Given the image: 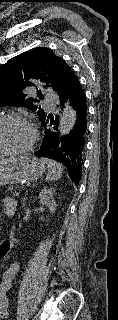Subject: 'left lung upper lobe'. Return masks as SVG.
<instances>
[{
  "label": "left lung upper lobe",
  "instance_id": "obj_1",
  "mask_svg": "<svg viewBox=\"0 0 118 320\" xmlns=\"http://www.w3.org/2000/svg\"><path fill=\"white\" fill-rule=\"evenodd\" d=\"M72 73L65 61L46 47L26 51L0 66V106L27 107L41 120L46 112L35 103L43 95L38 91V99H34L27 90L38 81L58 93Z\"/></svg>",
  "mask_w": 118,
  "mask_h": 320
}]
</instances>
